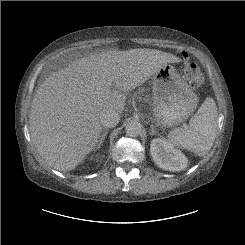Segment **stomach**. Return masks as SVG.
Returning a JSON list of instances; mask_svg holds the SVG:
<instances>
[{"label":"stomach","instance_id":"0dacf381","mask_svg":"<svg viewBox=\"0 0 245 245\" xmlns=\"http://www.w3.org/2000/svg\"><path fill=\"white\" fill-rule=\"evenodd\" d=\"M153 116L163 127H174L196 110L198 97L174 66L165 65L153 76Z\"/></svg>","mask_w":245,"mask_h":245}]
</instances>
